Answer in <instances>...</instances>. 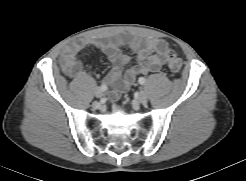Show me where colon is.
<instances>
[{"mask_svg":"<svg viewBox=\"0 0 246 181\" xmlns=\"http://www.w3.org/2000/svg\"><path fill=\"white\" fill-rule=\"evenodd\" d=\"M183 65L182 59L173 51H169L167 55V66L170 72L178 73Z\"/></svg>","mask_w":246,"mask_h":181,"instance_id":"obj_1","label":"colon"}]
</instances>
